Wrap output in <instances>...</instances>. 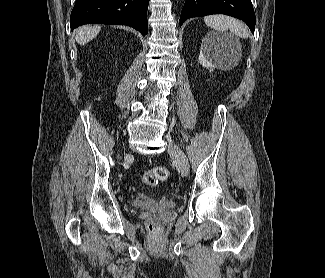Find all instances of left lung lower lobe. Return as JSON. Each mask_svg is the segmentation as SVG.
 <instances>
[{
  "mask_svg": "<svg viewBox=\"0 0 325 278\" xmlns=\"http://www.w3.org/2000/svg\"><path fill=\"white\" fill-rule=\"evenodd\" d=\"M210 14H226L241 19L254 33L255 13L251 0H186L180 16V26L188 18Z\"/></svg>",
  "mask_w": 325,
  "mask_h": 278,
  "instance_id": "obj_1",
  "label": "left lung lower lobe"
}]
</instances>
